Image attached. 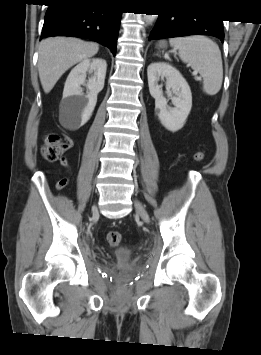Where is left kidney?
Wrapping results in <instances>:
<instances>
[{"instance_id":"1","label":"left kidney","mask_w":261,"mask_h":355,"mask_svg":"<svg viewBox=\"0 0 261 355\" xmlns=\"http://www.w3.org/2000/svg\"><path fill=\"white\" fill-rule=\"evenodd\" d=\"M147 76L149 92L155 99V110L161 124L171 132L180 130L192 107V94L187 81L175 67L164 62L151 63L147 68ZM160 78L166 79L167 88L174 94V108L167 106L162 85L158 84Z\"/></svg>"}]
</instances>
